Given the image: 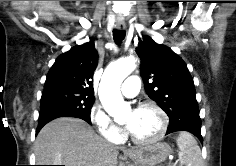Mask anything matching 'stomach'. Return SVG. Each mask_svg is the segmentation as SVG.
I'll return each instance as SVG.
<instances>
[{
    "mask_svg": "<svg viewBox=\"0 0 236 166\" xmlns=\"http://www.w3.org/2000/svg\"><path fill=\"white\" fill-rule=\"evenodd\" d=\"M172 153L167 143H156L130 153V158L138 163V166H161Z\"/></svg>",
    "mask_w": 236,
    "mask_h": 166,
    "instance_id": "obj_1",
    "label": "stomach"
}]
</instances>
